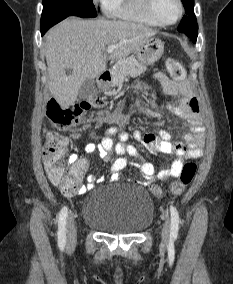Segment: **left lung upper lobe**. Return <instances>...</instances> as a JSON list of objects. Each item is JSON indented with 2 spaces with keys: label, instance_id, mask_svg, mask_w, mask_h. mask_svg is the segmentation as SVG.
<instances>
[{
  "label": "left lung upper lobe",
  "instance_id": "left-lung-upper-lobe-1",
  "mask_svg": "<svg viewBox=\"0 0 233 284\" xmlns=\"http://www.w3.org/2000/svg\"><path fill=\"white\" fill-rule=\"evenodd\" d=\"M184 7L186 8V14L178 26V31L185 33L190 38L197 37L198 35V24L193 11L194 0H182Z\"/></svg>",
  "mask_w": 233,
  "mask_h": 284
}]
</instances>
